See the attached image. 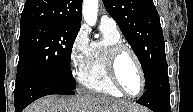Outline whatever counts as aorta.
Masks as SVG:
<instances>
[{"label":"aorta","mask_w":193,"mask_h":112,"mask_svg":"<svg viewBox=\"0 0 193 112\" xmlns=\"http://www.w3.org/2000/svg\"><path fill=\"white\" fill-rule=\"evenodd\" d=\"M98 15V0H84L83 2V19L90 25L94 26Z\"/></svg>","instance_id":"1"}]
</instances>
